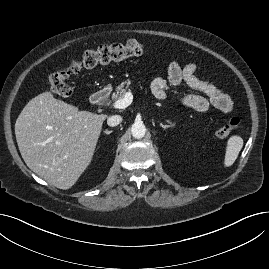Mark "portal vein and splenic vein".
I'll use <instances>...</instances> for the list:
<instances>
[{
	"label": "portal vein and splenic vein",
	"instance_id": "18ae733b",
	"mask_svg": "<svg viewBox=\"0 0 269 269\" xmlns=\"http://www.w3.org/2000/svg\"><path fill=\"white\" fill-rule=\"evenodd\" d=\"M133 101V95L131 93V91L126 92V94L124 95L123 98H120L118 100H116L112 107L114 109H125L126 107H128Z\"/></svg>",
	"mask_w": 269,
	"mask_h": 269
}]
</instances>
